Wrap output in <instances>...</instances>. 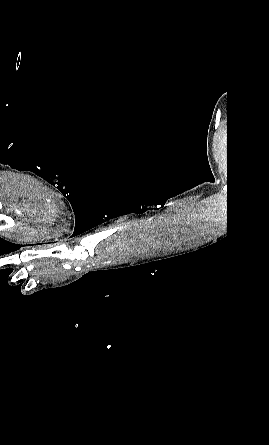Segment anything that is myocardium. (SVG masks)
<instances>
[{
	"instance_id": "obj_1",
	"label": "myocardium",
	"mask_w": 269,
	"mask_h": 445,
	"mask_svg": "<svg viewBox=\"0 0 269 445\" xmlns=\"http://www.w3.org/2000/svg\"><path fill=\"white\" fill-rule=\"evenodd\" d=\"M58 234H49V235H45L42 236L40 239H49V238H54V237H58Z\"/></svg>"
}]
</instances>
